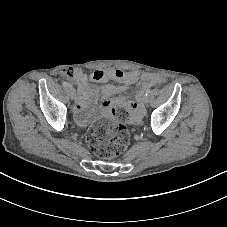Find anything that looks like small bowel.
<instances>
[{
  "label": "small bowel",
  "instance_id": "1",
  "mask_svg": "<svg viewBox=\"0 0 227 227\" xmlns=\"http://www.w3.org/2000/svg\"><path fill=\"white\" fill-rule=\"evenodd\" d=\"M140 75L138 72H125L120 69H99L93 71L89 76L86 75L81 70H76L72 78L76 81L78 85V98L75 104L74 113L75 118L79 124H86L88 121L87 111L90 105L96 101L99 89L96 86L88 85V79L94 82H105L109 79L115 80L117 82L123 83L125 85H130L139 79ZM163 78L158 75H149L144 78L139 87V93L142 94L148 87L161 83ZM115 92V88L110 85H106L102 88V93L106 99L102 102V106L105 109L112 108L115 104H121L126 102L124 98H118L116 100H111L108 97ZM129 108L137 114L140 112L139 106L134 102H127Z\"/></svg>",
  "mask_w": 227,
  "mask_h": 227
}]
</instances>
